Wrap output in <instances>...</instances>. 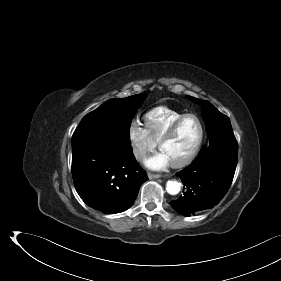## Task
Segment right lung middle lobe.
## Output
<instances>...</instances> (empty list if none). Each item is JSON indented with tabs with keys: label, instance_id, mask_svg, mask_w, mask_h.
<instances>
[{
	"label": "right lung middle lobe",
	"instance_id": "right-lung-middle-lobe-1",
	"mask_svg": "<svg viewBox=\"0 0 281 281\" xmlns=\"http://www.w3.org/2000/svg\"><path fill=\"white\" fill-rule=\"evenodd\" d=\"M146 93L110 99L83 117L72 136V153L89 148L130 147V125Z\"/></svg>",
	"mask_w": 281,
	"mask_h": 281
}]
</instances>
